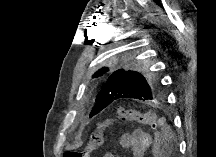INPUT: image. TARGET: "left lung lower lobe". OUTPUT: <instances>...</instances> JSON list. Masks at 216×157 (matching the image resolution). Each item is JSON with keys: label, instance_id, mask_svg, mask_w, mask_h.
I'll return each instance as SVG.
<instances>
[{"label": "left lung lower lobe", "instance_id": "0a47b994", "mask_svg": "<svg viewBox=\"0 0 216 157\" xmlns=\"http://www.w3.org/2000/svg\"><path fill=\"white\" fill-rule=\"evenodd\" d=\"M108 105H110L109 103H102V104H97L94 106L93 110L90 113V117L98 114L100 111H102L104 108H106Z\"/></svg>", "mask_w": 216, "mask_h": 157}]
</instances>
